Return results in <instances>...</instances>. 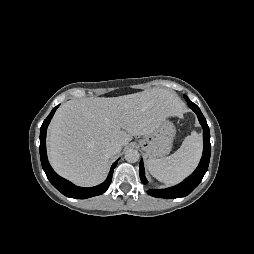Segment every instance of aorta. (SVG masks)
Listing matches in <instances>:
<instances>
[{"mask_svg":"<svg viewBox=\"0 0 254 254\" xmlns=\"http://www.w3.org/2000/svg\"><path fill=\"white\" fill-rule=\"evenodd\" d=\"M125 160L129 163H135L139 160L140 158V154L137 150L135 149H128L126 152H125Z\"/></svg>","mask_w":254,"mask_h":254,"instance_id":"obj_1","label":"aorta"}]
</instances>
